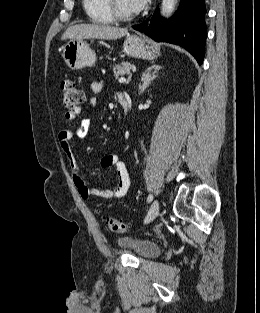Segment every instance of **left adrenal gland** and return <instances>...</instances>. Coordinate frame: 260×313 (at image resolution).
<instances>
[{
    "label": "left adrenal gland",
    "instance_id": "obj_1",
    "mask_svg": "<svg viewBox=\"0 0 260 313\" xmlns=\"http://www.w3.org/2000/svg\"><path fill=\"white\" fill-rule=\"evenodd\" d=\"M161 66L153 65L149 67L142 73L141 82L142 84L139 85V94H142L145 89L149 86L151 81H153L157 77V72L161 69ZM152 70H154L152 72Z\"/></svg>",
    "mask_w": 260,
    "mask_h": 313
}]
</instances>
